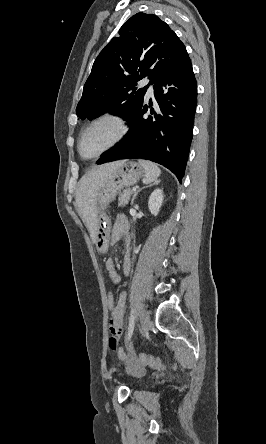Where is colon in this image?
<instances>
[{
    "instance_id": "colon-1",
    "label": "colon",
    "mask_w": 266,
    "mask_h": 444,
    "mask_svg": "<svg viewBox=\"0 0 266 444\" xmlns=\"http://www.w3.org/2000/svg\"><path fill=\"white\" fill-rule=\"evenodd\" d=\"M106 304L109 310H114L117 303L113 293L108 292L106 296ZM145 367L154 369H164L165 365L160 358H155L146 354H138L134 356L132 369L136 372H142Z\"/></svg>"
}]
</instances>
